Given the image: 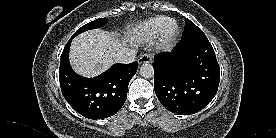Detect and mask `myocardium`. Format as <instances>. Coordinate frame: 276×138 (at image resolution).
<instances>
[{
  "label": "myocardium",
  "mask_w": 276,
  "mask_h": 138,
  "mask_svg": "<svg viewBox=\"0 0 276 138\" xmlns=\"http://www.w3.org/2000/svg\"><path fill=\"white\" fill-rule=\"evenodd\" d=\"M173 25L171 29L170 26ZM180 32V27L178 22L175 19L169 18L162 26L159 35H158V44L159 47L166 49L170 47Z\"/></svg>",
  "instance_id": "1"
}]
</instances>
